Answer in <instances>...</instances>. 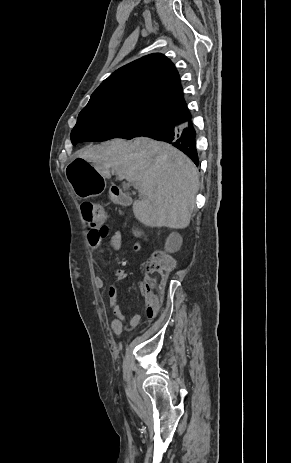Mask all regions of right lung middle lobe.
I'll use <instances>...</instances> for the list:
<instances>
[{"label":"right lung middle lobe","mask_w":291,"mask_h":463,"mask_svg":"<svg viewBox=\"0 0 291 463\" xmlns=\"http://www.w3.org/2000/svg\"><path fill=\"white\" fill-rule=\"evenodd\" d=\"M164 118L140 111L82 109L71 132V141L101 142L114 138L132 139L166 126Z\"/></svg>","instance_id":"1"}]
</instances>
